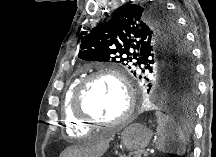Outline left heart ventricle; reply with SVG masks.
<instances>
[{"label": "left heart ventricle", "mask_w": 216, "mask_h": 157, "mask_svg": "<svg viewBox=\"0 0 216 157\" xmlns=\"http://www.w3.org/2000/svg\"><path fill=\"white\" fill-rule=\"evenodd\" d=\"M84 106L95 118L113 122L123 114L127 101L118 82L108 77H100L89 84Z\"/></svg>", "instance_id": "b2bd125f"}]
</instances>
